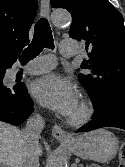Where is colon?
Wrapping results in <instances>:
<instances>
[{
    "label": "colon",
    "mask_w": 125,
    "mask_h": 167,
    "mask_svg": "<svg viewBox=\"0 0 125 167\" xmlns=\"http://www.w3.org/2000/svg\"><path fill=\"white\" fill-rule=\"evenodd\" d=\"M118 167H125V142L122 144L120 148Z\"/></svg>",
    "instance_id": "colon-1"
}]
</instances>
